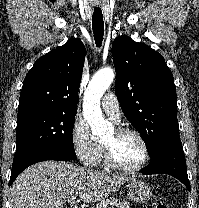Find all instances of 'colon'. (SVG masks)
<instances>
[{
  "label": "colon",
  "instance_id": "obj_1",
  "mask_svg": "<svg viewBox=\"0 0 199 208\" xmlns=\"http://www.w3.org/2000/svg\"><path fill=\"white\" fill-rule=\"evenodd\" d=\"M151 208H167V205L161 200H156L152 203Z\"/></svg>",
  "mask_w": 199,
  "mask_h": 208
}]
</instances>
